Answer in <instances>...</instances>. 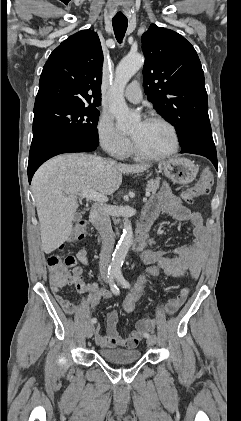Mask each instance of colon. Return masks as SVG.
<instances>
[{
    "mask_svg": "<svg viewBox=\"0 0 241 421\" xmlns=\"http://www.w3.org/2000/svg\"><path fill=\"white\" fill-rule=\"evenodd\" d=\"M213 183L212 172L205 168L202 170L197 183L182 193V198L188 203H192L196 198L209 193ZM86 234L85 223L77 222L70 235V241H79ZM49 269V277L52 285H62L71 282L81 273L80 267L77 266V260L73 255L52 254L47 259ZM71 270L73 271L71 273ZM162 271L159 264H150L144 274L134 285L133 289L126 296L123 303V309L126 312L134 311L137 302L142 297L147 287L157 278Z\"/></svg>",
    "mask_w": 241,
    "mask_h": 421,
    "instance_id": "colon-1",
    "label": "colon"
}]
</instances>
